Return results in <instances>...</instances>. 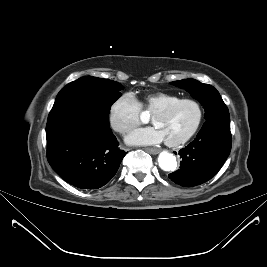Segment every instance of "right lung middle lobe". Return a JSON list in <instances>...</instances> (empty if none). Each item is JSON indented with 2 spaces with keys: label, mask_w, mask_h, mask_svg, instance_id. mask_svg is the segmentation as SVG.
<instances>
[{
  "label": "right lung middle lobe",
  "mask_w": 267,
  "mask_h": 267,
  "mask_svg": "<svg viewBox=\"0 0 267 267\" xmlns=\"http://www.w3.org/2000/svg\"><path fill=\"white\" fill-rule=\"evenodd\" d=\"M123 86L115 81L92 76L79 78L61 89L48 121L68 112L96 116L109 122L111 105L121 96Z\"/></svg>",
  "instance_id": "obj_1"
}]
</instances>
